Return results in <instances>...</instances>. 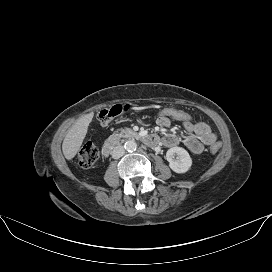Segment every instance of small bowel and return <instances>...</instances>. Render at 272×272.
Instances as JSON below:
<instances>
[{
    "label": "small bowel",
    "mask_w": 272,
    "mask_h": 272,
    "mask_svg": "<svg viewBox=\"0 0 272 272\" xmlns=\"http://www.w3.org/2000/svg\"><path fill=\"white\" fill-rule=\"evenodd\" d=\"M157 124L160 127L167 128L171 125V121L165 117H158ZM182 125L186 135L182 139L184 145L194 154H200L204 145H212L216 142L217 136L211 128L204 122L184 121ZM181 141L179 135L175 132H170L164 138V143L167 147H174Z\"/></svg>",
    "instance_id": "small-bowel-1"
}]
</instances>
